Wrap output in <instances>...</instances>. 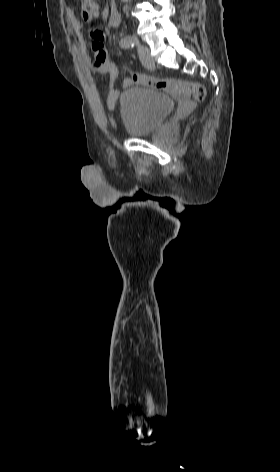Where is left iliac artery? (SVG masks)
<instances>
[{
    "label": "left iliac artery",
    "mask_w": 280,
    "mask_h": 472,
    "mask_svg": "<svg viewBox=\"0 0 280 472\" xmlns=\"http://www.w3.org/2000/svg\"><path fill=\"white\" fill-rule=\"evenodd\" d=\"M137 42L138 40L135 36H126L121 39L120 46L125 49L132 48Z\"/></svg>",
    "instance_id": "left-iliac-artery-1"
}]
</instances>
